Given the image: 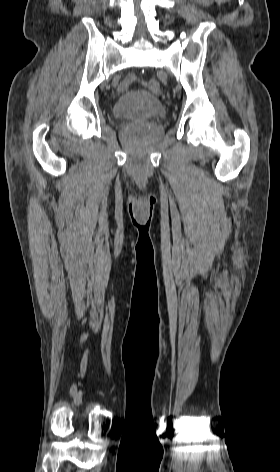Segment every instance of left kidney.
I'll list each match as a JSON object with an SVG mask.
<instances>
[{"label": "left kidney", "mask_w": 280, "mask_h": 472, "mask_svg": "<svg viewBox=\"0 0 280 472\" xmlns=\"http://www.w3.org/2000/svg\"><path fill=\"white\" fill-rule=\"evenodd\" d=\"M194 1H195V2H200L201 0H194ZM219 1H221V2H222V1H224V0H219Z\"/></svg>", "instance_id": "1"}]
</instances>
